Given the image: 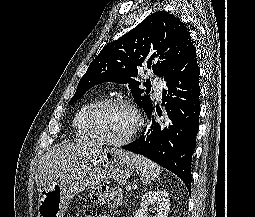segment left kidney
Returning a JSON list of instances; mask_svg holds the SVG:
<instances>
[{
    "label": "left kidney",
    "mask_w": 255,
    "mask_h": 217,
    "mask_svg": "<svg viewBox=\"0 0 255 217\" xmlns=\"http://www.w3.org/2000/svg\"><path fill=\"white\" fill-rule=\"evenodd\" d=\"M156 212L155 217H168L170 210L169 194L165 190H150L146 192L140 202L134 217H148V210Z\"/></svg>",
    "instance_id": "obj_1"
}]
</instances>
